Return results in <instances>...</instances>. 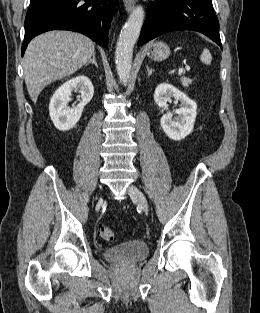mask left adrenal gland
I'll return each mask as SVG.
<instances>
[{
	"label": "left adrenal gland",
	"mask_w": 260,
	"mask_h": 313,
	"mask_svg": "<svg viewBox=\"0 0 260 313\" xmlns=\"http://www.w3.org/2000/svg\"><path fill=\"white\" fill-rule=\"evenodd\" d=\"M146 68H147V71H148V76H150L154 70L150 69L149 66H146Z\"/></svg>",
	"instance_id": "a2214340"
}]
</instances>
